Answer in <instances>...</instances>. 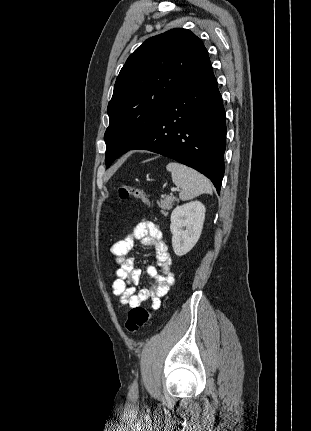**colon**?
Here are the masks:
<instances>
[{"mask_svg":"<svg viewBox=\"0 0 311 431\" xmlns=\"http://www.w3.org/2000/svg\"><path fill=\"white\" fill-rule=\"evenodd\" d=\"M118 196L121 200L134 198L145 204L149 203L148 197L142 190L128 185L120 186L118 190ZM151 316V313L144 307L138 306L131 309L128 313V317L125 323L127 331L130 333L137 332L143 325H145L150 320Z\"/></svg>","mask_w":311,"mask_h":431,"instance_id":"obj_1","label":"colon"}]
</instances>
